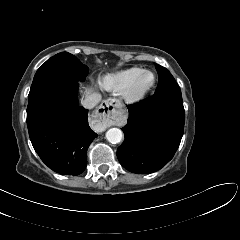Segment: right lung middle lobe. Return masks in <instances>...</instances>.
I'll use <instances>...</instances> for the list:
<instances>
[{"label": "right lung middle lobe", "mask_w": 240, "mask_h": 240, "mask_svg": "<svg viewBox=\"0 0 240 240\" xmlns=\"http://www.w3.org/2000/svg\"><path fill=\"white\" fill-rule=\"evenodd\" d=\"M88 74V67L77 57L61 52L48 59L36 72L29 96H33L43 86L62 80L83 81Z\"/></svg>", "instance_id": "right-lung-middle-lobe-1"}]
</instances>
